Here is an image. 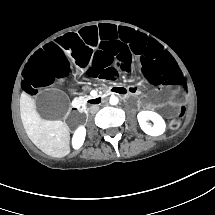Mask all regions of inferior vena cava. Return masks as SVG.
<instances>
[{
    "label": "inferior vena cava",
    "instance_id": "1",
    "mask_svg": "<svg viewBox=\"0 0 215 215\" xmlns=\"http://www.w3.org/2000/svg\"><path fill=\"white\" fill-rule=\"evenodd\" d=\"M99 110V106L98 105H92L90 107V113L94 114Z\"/></svg>",
    "mask_w": 215,
    "mask_h": 215
}]
</instances>
